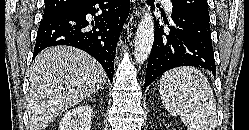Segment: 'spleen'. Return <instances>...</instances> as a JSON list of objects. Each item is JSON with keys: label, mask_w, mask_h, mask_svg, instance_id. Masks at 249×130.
Wrapping results in <instances>:
<instances>
[{"label": "spleen", "mask_w": 249, "mask_h": 130, "mask_svg": "<svg viewBox=\"0 0 249 130\" xmlns=\"http://www.w3.org/2000/svg\"><path fill=\"white\" fill-rule=\"evenodd\" d=\"M159 92L166 110L173 116H180L188 130H215V98L200 70L184 66L165 72Z\"/></svg>", "instance_id": "1"}]
</instances>
